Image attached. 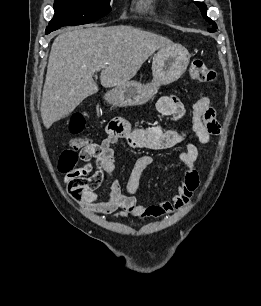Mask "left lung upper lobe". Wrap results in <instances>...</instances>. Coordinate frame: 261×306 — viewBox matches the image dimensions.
I'll return each mask as SVG.
<instances>
[{"label": "left lung upper lobe", "instance_id": "5c2ea615", "mask_svg": "<svg viewBox=\"0 0 261 306\" xmlns=\"http://www.w3.org/2000/svg\"><path fill=\"white\" fill-rule=\"evenodd\" d=\"M196 5L200 8L201 12H202V16L210 23L212 24V28L208 29L209 32H215L217 29V25L214 21H212L206 14L207 12V7L204 3L202 2H195Z\"/></svg>", "mask_w": 261, "mask_h": 306}]
</instances>
